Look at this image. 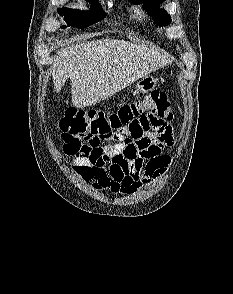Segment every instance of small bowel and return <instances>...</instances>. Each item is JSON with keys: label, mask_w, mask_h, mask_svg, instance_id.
<instances>
[{"label": "small bowel", "mask_w": 233, "mask_h": 294, "mask_svg": "<svg viewBox=\"0 0 233 294\" xmlns=\"http://www.w3.org/2000/svg\"><path fill=\"white\" fill-rule=\"evenodd\" d=\"M136 120H127L125 137L104 148L103 156L76 157L72 170L96 190L128 194L150 184L162 175L171 157L162 150L174 145L170 119L160 117L157 110H135ZM120 155V156H117Z\"/></svg>", "instance_id": "c3829d8e"}]
</instances>
